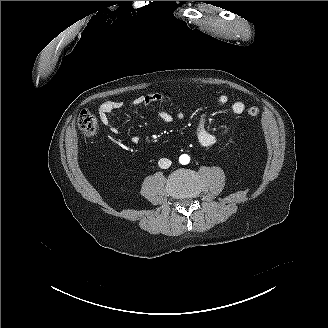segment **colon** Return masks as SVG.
<instances>
[{"label":"colon","mask_w":328,"mask_h":328,"mask_svg":"<svg viewBox=\"0 0 328 328\" xmlns=\"http://www.w3.org/2000/svg\"><path fill=\"white\" fill-rule=\"evenodd\" d=\"M247 114L250 117H256L259 114V108L256 106H251L248 108ZM77 124L81 133L86 137L93 136L98 128L96 117L88 111H82L80 113Z\"/></svg>","instance_id":"1"}]
</instances>
